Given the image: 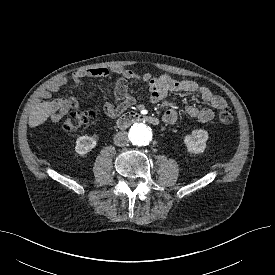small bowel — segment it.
Masks as SVG:
<instances>
[{
	"label": "small bowel",
	"mask_w": 275,
	"mask_h": 275,
	"mask_svg": "<svg viewBox=\"0 0 275 275\" xmlns=\"http://www.w3.org/2000/svg\"><path fill=\"white\" fill-rule=\"evenodd\" d=\"M112 72L120 75L116 82L114 90V99L104 105V111L108 116L115 117L134 104L133 97L128 93V79L145 82L149 86L150 99L157 103L164 99L170 92L198 93L201 99L208 104L207 107L198 108L194 105L186 107V113L196 118L202 123L211 121L214 117V111L226 107V101L223 97L214 94L209 88L199 86L192 80H176L169 75L154 77L149 73H135L127 67L117 66L112 69L105 67H96L82 69L74 72L71 76L72 81L82 87L84 77H107ZM66 78L60 77L54 80L48 91L44 94L45 99L50 98V93L58 92L66 83ZM57 111L50 110L49 117L52 122H57L61 117V111L77 110L78 99L73 96L56 104ZM163 120L167 124H173L177 120V111L175 109L167 110L163 115Z\"/></svg>",
	"instance_id": "1"
}]
</instances>
